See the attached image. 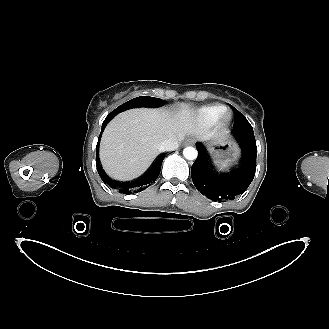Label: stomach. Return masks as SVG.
<instances>
[{
    "label": "stomach",
    "instance_id": "obj_1",
    "mask_svg": "<svg viewBox=\"0 0 329 329\" xmlns=\"http://www.w3.org/2000/svg\"><path fill=\"white\" fill-rule=\"evenodd\" d=\"M210 153L215 163L221 168L236 164L239 158L238 148L231 141L215 143L210 148Z\"/></svg>",
    "mask_w": 329,
    "mask_h": 329
}]
</instances>
